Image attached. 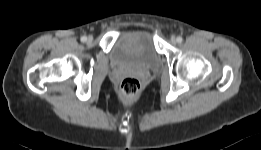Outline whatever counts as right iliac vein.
<instances>
[{
  "mask_svg": "<svg viewBox=\"0 0 261 150\" xmlns=\"http://www.w3.org/2000/svg\"><path fill=\"white\" fill-rule=\"evenodd\" d=\"M92 40H93V37H92V36H89L88 39H87V41H88L89 43L92 42Z\"/></svg>",
  "mask_w": 261,
  "mask_h": 150,
  "instance_id": "1",
  "label": "right iliac vein"
}]
</instances>
